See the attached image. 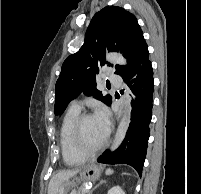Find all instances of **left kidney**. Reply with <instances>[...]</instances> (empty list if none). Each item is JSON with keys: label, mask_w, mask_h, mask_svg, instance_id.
Returning <instances> with one entry per match:
<instances>
[{"label": "left kidney", "mask_w": 201, "mask_h": 194, "mask_svg": "<svg viewBox=\"0 0 201 194\" xmlns=\"http://www.w3.org/2000/svg\"><path fill=\"white\" fill-rule=\"evenodd\" d=\"M107 194H125V192L119 186H114Z\"/></svg>", "instance_id": "1"}]
</instances>
